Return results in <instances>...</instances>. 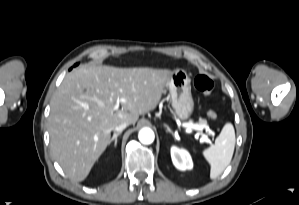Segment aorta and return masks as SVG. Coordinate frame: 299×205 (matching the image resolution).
I'll return each mask as SVG.
<instances>
[{
    "instance_id": "1",
    "label": "aorta",
    "mask_w": 299,
    "mask_h": 205,
    "mask_svg": "<svg viewBox=\"0 0 299 205\" xmlns=\"http://www.w3.org/2000/svg\"><path fill=\"white\" fill-rule=\"evenodd\" d=\"M139 141L143 144H151L154 141L155 135L150 128H143L138 134Z\"/></svg>"
}]
</instances>
